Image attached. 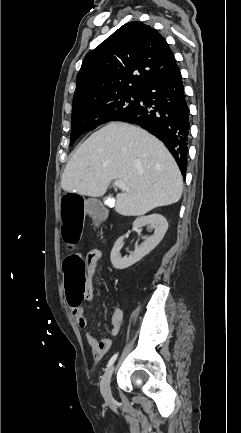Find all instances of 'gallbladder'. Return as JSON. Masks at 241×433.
<instances>
[{
	"label": "gallbladder",
	"mask_w": 241,
	"mask_h": 433,
	"mask_svg": "<svg viewBox=\"0 0 241 433\" xmlns=\"http://www.w3.org/2000/svg\"><path fill=\"white\" fill-rule=\"evenodd\" d=\"M87 211L91 216L105 217L108 213L103 204L96 199H89L87 201Z\"/></svg>",
	"instance_id": "1"
}]
</instances>
